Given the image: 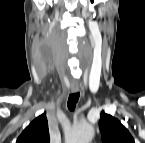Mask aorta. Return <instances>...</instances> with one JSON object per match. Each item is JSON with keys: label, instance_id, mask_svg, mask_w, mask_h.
<instances>
[{"label": "aorta", "instance_id": "1", "mask_svg": "<svg viewBox=\"0 0 145 143\" xmlns=\"http://www.w3.org/2000/svg\"><path fill=\"white\" fill-rule=\"evenodd\" d=\"M94 135V128L90 124L72 127L66 134L67 143H89Z\"/></svg>", "mask_w": 145, "mask_h": 143}]
</instances>
